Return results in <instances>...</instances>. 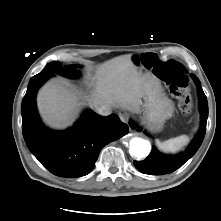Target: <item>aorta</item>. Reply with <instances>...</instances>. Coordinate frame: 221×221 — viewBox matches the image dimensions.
<instances>
[{
	"label": "aorta",
	"instance_id": "obj_1",
	"mask_svg": "<svg viewBox=\"0 0 221 221\" xmlns=\"http://www.w3.org/2000/svg\"><path fill=\"white\" fill-rule=\"evenodd\" d=\"M151 150L149 141L135 137L130 141V151L137 158H144L148 156Z\"/></svg>",
	"mask_w": 221,
	"mask_h": 221
}]
</instances>
